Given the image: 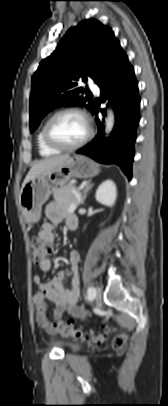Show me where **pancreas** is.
Instances as JSON below:
<instances>
[{"label": "pancreas", "mask_w": 168, "mask_h": 406, "mask_svg": "<svg viewBox=\"0 0 168 406\" xmlns=\"http://www.w3.org/2000/svg\"><path fill=\"white\" fill-rule=\"evenodd\" d=\"M78 189L73 183L53 190V197L60 208L68 210L72 204H77Z\"/></svg>", "instance_id": "1"}]
</instances>
